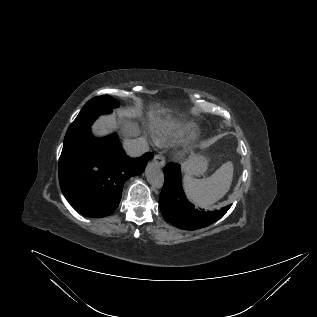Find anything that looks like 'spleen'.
<instances>
[{
	"label": "spleen",
	"instance_id": "1",
	"mask_svg": "<svg viewBox=\"0 0 317 317\" xmlns=\"http://www.w3.org/2000/svg\"><path fill=\"white\" fill-rule=\"evenodd\" d=\"M233 164L224 163L214 174L203 179L185 175L183 184L188 198L196 205L207 208L221 199L230 189Z\"/></svg>",
	"mask_w": 317,
	"mask_h": 317
}]
</instances>
